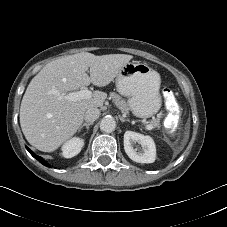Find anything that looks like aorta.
<instances>
[{
	"label": "aorta",
	"instance_id": "aorta-1",
	"mask_svg": "<svg viewBox=\"0 0 227 227\" xmlns=\"http://www.w3.org/2000/svg\"><path fill=\"white\" fill-rule=\"evenodd\" d=\"M116 128V121L111 116L104 117L100 122V130L106 133H111Z\"/></svg>",
	"mask_w": 227,
	"mask_h": 227
}]
</instances>
